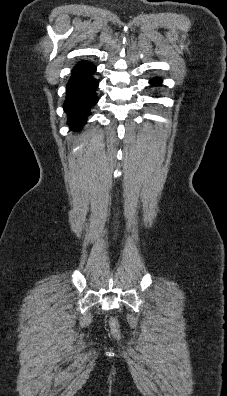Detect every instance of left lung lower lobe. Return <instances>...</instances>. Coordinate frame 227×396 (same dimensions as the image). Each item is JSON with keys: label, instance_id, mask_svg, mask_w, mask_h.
<instances>
[{"label": "left lung lower lobe", "instance_id": "left-lung-lower-lobe-1", "mask_svg": "<svg viewBox=\"0 0 227 396\" xmlns=\"http://www.w3.org/2000/svg\"><path fill=\"white\" fill-rule=\"evenodd\" d=\"M150 83H151V84H155V85L160 84V83H161V79H160V78L152 79V80L150 81Z\"/></svg>", "mask_w": 227, "mask_h": 396}]
</instances>
